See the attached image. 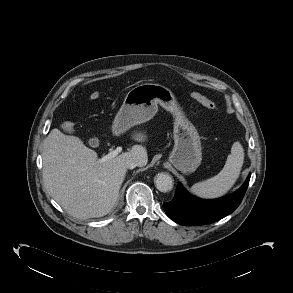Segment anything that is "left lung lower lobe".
<instances>
[{"mask_svg": "<svg viewBox=\"0 0 293 293\" xmlns=\"http://www.w3.org/2000/svg\"><path fill=\"white\" fill-rule=\"evenodd\" d=\"M251 174L242 187L222 199L202 200L191 196L182 185H178L172 201L163 204L166 214L175 222L185 225H205L231 214L241 203L247 190Z\"/></svg>", "mask_w": 293, "mask_h": 293, "instance_id": "obj_1", "label": "left lung lower lobe"}]
</instances>
